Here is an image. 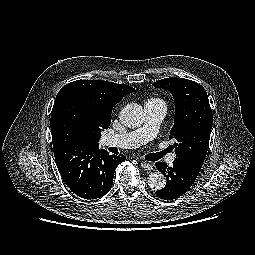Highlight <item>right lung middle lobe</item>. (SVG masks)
I'll list each match as a JSON object with an SVG mask.
<instances>
[{"mask_svg":"<svg viewBox=\"0 0 255 255\" xmlns=\"http://www.w3.org/2000/svg\"><path fill=\"white\" fill-rule=\"evenodd\" d=\"M52 130L62 146H90L89 137L98 131L86 104L78 98H69L56 111Z\"/></svg>","mask_w":255,"mask_h":255,"instance_id":"dd1d6c3e","label":"right lung middle lobe"}]
</instances>
